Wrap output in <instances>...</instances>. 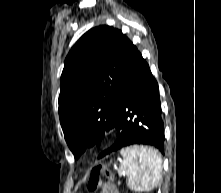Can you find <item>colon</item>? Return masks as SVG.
Segmentation results:
<instances>
[{"instance_id":"obj_1","label":"colon","mask_w":221,"mask_h":193,"mask_svg":"<svg viewBox=\"0 0 221 193\" xmlns=\"http://www.w3.org/2000/svg\"><path fill=\"white\" fill-rule=\"evenodd\" d=\"M103 176L107 179L112 178V174L106 167L98 165L91 170L86 182L89 192L93 193L101 187Z\"/></svg>"}]
</instances>
